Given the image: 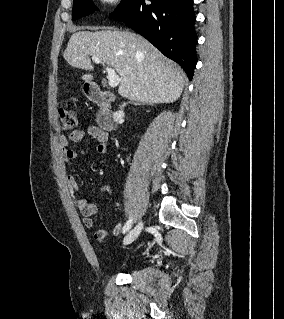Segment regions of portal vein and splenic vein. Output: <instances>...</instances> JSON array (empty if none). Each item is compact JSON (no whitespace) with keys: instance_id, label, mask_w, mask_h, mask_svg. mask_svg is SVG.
I'll list each match as a JSON object with an SVG mask.
<instances>
[{"instance_id":"18ae733b","label":"portal vein and splenic vein","mask_w":284,"mask_h":319,"mask_svg":"<svg viewBox=\"0 0 284 319\" xmlns=\"http://www.w3.org/2000/svg\"><path fill=\"white\" fill-rule=\"evenodd\" d=\"M92 60L95 63H102V61L98 57H92ZM106 72L108 74V84L110 87L118 86L120 82V77L116 74L115 70L111 67H106Z\"/></svg>"}]
</instances>
